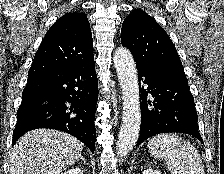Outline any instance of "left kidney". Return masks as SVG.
I'll return each instance as SVG.
<instances>
[{"mask_svg": "<svg viewBox=\"0 0 224 174\" xmlns=\"http://www.w3.org/2000/svg\"><path fill=\"white\" fill-rule=\"evenodd\" d=\"M142 174H161V173L159 171L154 170V169L147 168L143 171Z\"/></svg>", "mask_w": 224, "mask_h": 174, "instance_id": "1", "label": "left kidney"}]
</instances>
